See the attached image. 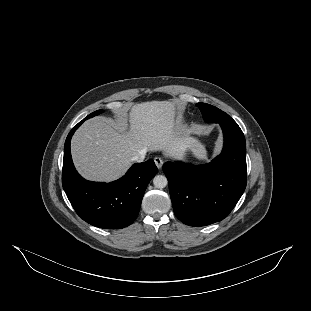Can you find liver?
Wrapping results in <instances>:
<instances>
[{
	"label": "liver",
	"instance_id": "obj_1",
	"mask_svg": "<svg viewBox=\"0 0 311 311\" xmlns=\"http://www.w3.org/2000/svg\"><path fill=\"white\" fill-rule=\"evenodd\" d=\"M108 125L93 118L75 132L71 141L74 165L87 180L111 182L126 173L132 158L148 151H162L167 157L181 158L186 150L201 151L198 139L175 122L170 101L135 104ZM129 122V124H127Z\"/></svg>",
	"mask_w": 311,
	"mask_h": 311
}]
</instances>
